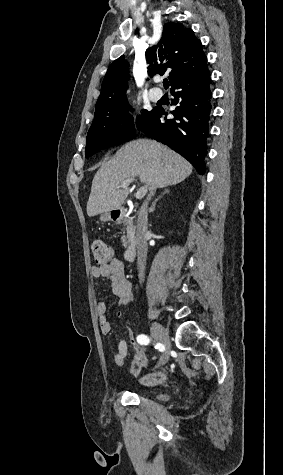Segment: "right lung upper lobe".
I'll list each match as a JSON object with an SVG mask.
<instances>
[{
    "instance_id": "obj_1",
    "label": "right lung upper lobe",
    "mask_w": 283,
    "mask_h": 475,
    "mask_svg": "<svg viewBox=\"0 0 283 475\" xmlns=\"http://www.w3.org/2000/svg\"><path fill=\"white\" fill-rule=\"evenodd\" d=\"M124 56L109 65L102 83L96 108L126 103L124 95L129 77V64ZM149 74H166L170 85L207 68L202 44L194 32L181 23H166L162 39L146 50Z\"/></svg>"
}]
</instances>
